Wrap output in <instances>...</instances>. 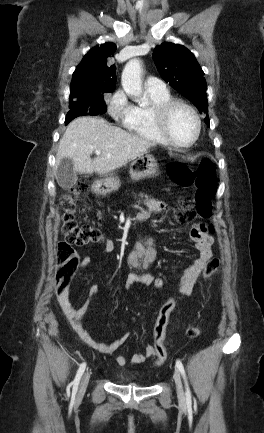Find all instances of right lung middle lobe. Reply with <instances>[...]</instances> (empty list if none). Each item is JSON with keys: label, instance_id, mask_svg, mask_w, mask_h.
Returning <instances> with one entry per match:
<instances>
[{"label": "right lung middle lobe", "instance_id": "1", "mask_svg": "<svg viewBox=\"0 0 264 433\" xmlns=\"http://www.w3.org/2000/svg\"><path fill=\"white\" fill-rule=\"evenodd\" d=\"M103 94H96L87 97H76V101L70 98L69 112L67 113L65 123L82 115H97L107 111V106L103 100Z\"/></svg>", "mask_w": 264, "mask_h": 433}]
</instances>
